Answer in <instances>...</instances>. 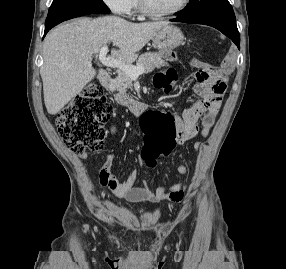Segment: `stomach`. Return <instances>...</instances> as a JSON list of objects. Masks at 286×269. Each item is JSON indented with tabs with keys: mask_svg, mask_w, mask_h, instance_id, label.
Here are the masks:
<instances>
[{
	"mask_svg": "<svg viewBox=\"0 0 286 269\" xmlns=\"http://www.w3.org/2000/svg\"><path fill=\"white\" fill-rule=\"evenodd\" d=\"M184 40L181 30L173 25L160 29L153 37V44L157 49H175Z\"/></svg>",
	"mask_w": 286,
	"mask_h": 269,
	"instance_id": "stomach-1",
	"label": "stomach"
}]
</instances>
